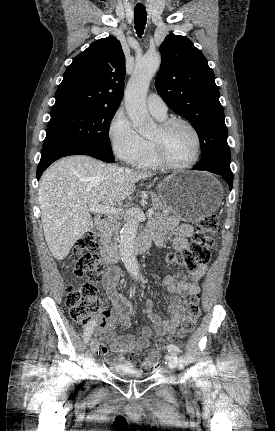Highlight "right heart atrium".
Masks as SVG:
<instances>
[{
  "mask_svg": "<svg viewBox=\"0 0 275 431\" xmlns=\"http://www.w3.org/2000/svg\"><path fill=\"white\" fill-rule=\"evenodd\" d=\"M108 133L112 149L122 161L135 164L144 154L146 142L123 111L115 113L109 124Z\"/></svg>",
  "mask_w": 275,
  "mask_h": 431,
  "instance_id": "d8ad5b80",
  "label": "right heart atrium"
}]
</instances>
